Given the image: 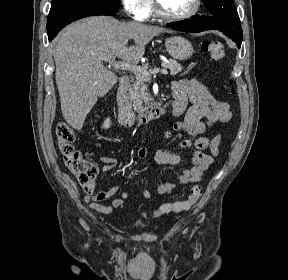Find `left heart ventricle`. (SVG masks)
<instances>
[{
  "label": "left heart ventricle",
  "mask_w": 288,
  "mask_h": 280,
  "mask_svg": "<svg viewBox=\"0 0 288 280\" xmlns=\"http://www.w3.org/2000/svg\"><path fill=\"white\" fill-rule=\"evenodd\" d=\"M195 0H159L163 10L170 15H182L190 11Z\"/></svg>",
  "instance_id": "1"
}]
</instances>
